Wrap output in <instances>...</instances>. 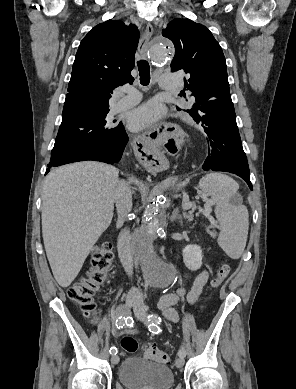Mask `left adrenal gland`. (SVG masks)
Instances as JSON below:
<instances>
[{
    "label": "left adrenal gland",
    "instance_id": "1",
    "mask_svg": "<svg viewBox=\"0 0 296 389\" xmlns=\"http://www.w3.org/2000/svg\"><path fill=\"white\" fill-rule=\"evenodd\" d=\"M170 221L173 223L174 221H179L182 224V216L179 214V208H175L170 217Z\"/></svg>",
    "mask_w": 296,
    "mask_h": 389
}]
</instances>
